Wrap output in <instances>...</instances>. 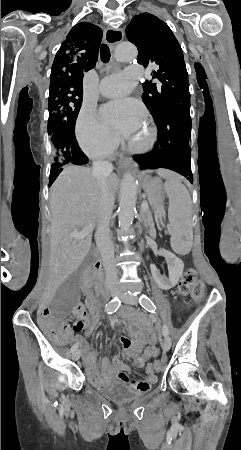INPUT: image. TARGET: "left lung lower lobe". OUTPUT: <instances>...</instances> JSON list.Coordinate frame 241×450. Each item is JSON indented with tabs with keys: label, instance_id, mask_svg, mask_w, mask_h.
<instances>
[{
	"label": "left lung lower lobe",
	"instance_id": "1",
	"mask_svg": "<svg viewBox=\"0 0 241 450\" xmlns=\"http://www.w3.org/2000/svg\"><path fill=\"white\" fill-rule=\"evenodd\" d=\"M158 139L154 149L134 157L143 169L167 168L193 183L190 164V101L167 110L157 121Z\"/></svg>",
	"mask_w": 241,
	"mask_h": 450
}]
</instances>
